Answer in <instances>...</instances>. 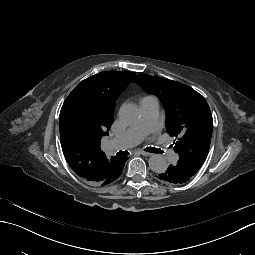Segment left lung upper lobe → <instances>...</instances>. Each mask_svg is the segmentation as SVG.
I'll use <instances>...</instances> for the list:
<instances>
[{
  "label": "left lung upper lobe",
  "mask_w": 255,
  "mask_h": 255,
  "mask_svg": "<svg viewBox=\"0 0 255 255\" xmlns=\"http://www.w3.org/2000/svg\"><path fill=\"white\" fill-rule=\"evenodd\" d=\"M133 82L160 99L166 111L167 132L178 138L173 147L179 154L175 166L192 177L210 148L213 119L207 101L189 86L169 79L141 74Z\"/></svg>",
  "instance_id": "left-lung-upper-lobe-1"
}]
</instances>
